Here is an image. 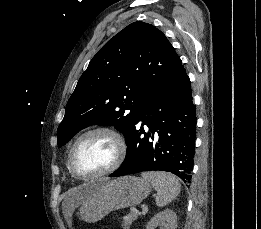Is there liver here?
Here are the masks:
<instances>
[{
	"label": "liver",
	"mask_w": 261,
	"mask_h": 229,
	"mask_svg": "<svg viewBox=\"0 0 261 229\" xmlns=\"http://www.w3.org/2000/svg\"><path fill=\"white\" fill-rule=\"evenodd\" d=\"M92 191L90 189H87V187H84V185H81V187H77V189H73L71 191V207L72 209H75L77 205H81L85 199H88L90 197Z\"/></svg>",
	"instance_id": "1"
}]
</instances>
